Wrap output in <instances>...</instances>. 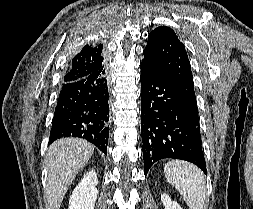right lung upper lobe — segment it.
I'll list each match as a JSON object with an SVG mask.
<instances>
[{"mask_svg":"<svg viewBox=\"0 0 253 209\" xmlns=\"http://www.w3.org/2000/svg\"><path fill=\"white\" fill-rule=\"evenodd\" d=\"M103 45H85L72 59L63 82L70 83L104 70Z\"/></svg>","mask_w":253,"mask_h":209,"instance_id":"1","label":"right lung upper lobe"}]
</instances>
